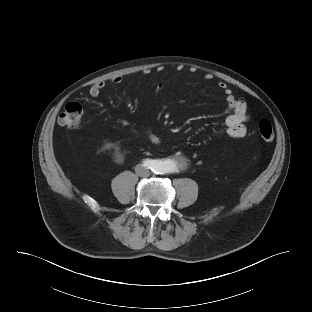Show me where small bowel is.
Returning <instances> with one entry per match:
<instances>
[{
    "mask_svg": "<svg viewBox=\"0 0 312 312\" xmlns=\"http://www.w3.org/2000/svg\"><path fill=\"white\" fill-rule=\"evenodd\" d=\"M212 78V75L207 74L205 79L209 80ZM122 81L120 76L114 77L112 79L113 84H119ZM106 83L100 81L92 85L89 89V96L93 99L99 97L101 91L104 89ZM220 90L225 95L226 99V110L225 112L229 115L225 120L226 133L230 138L239 139L246 135L247 128L245 123L247 122L249 116L247 114V103L243 98H237L233 95L232 90L224 82H219L218 84ZM162 89L161 86H158V91ZM150 140L157 144L159 143V138L155 135H150Z\"/></svg>",
    "mask_w": 312,
    "mask_h": 312,
    "instance_id": "obj_1",
    "label": "small bowel"
}]
</instances>
